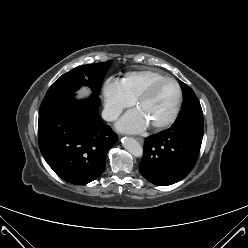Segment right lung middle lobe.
<instances>
[{
    "mask_svg": "<svg viewBox=\"0 0 248 248\" xmlns=\"http://www.w3.org/2000/svg\"><path fill=\"white\" fill-rule=\"evenodd\" d=\"M112 61L78 66L60 76L47 91L39 113L73 98V93L82 85H89L98 96L102 80ZM87 79V80H86Z\"/></svg>",
    "mask_w": 248,
    "mask_h": 248,
    "instance_id": "right-lung-middle-lobe-1",
    "label": "right lung middle lobe"
}]
</instances>
